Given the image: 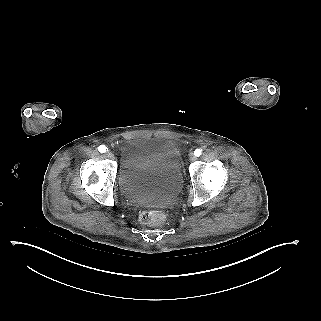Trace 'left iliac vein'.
Listing matches in <instances>:
<instances>
[{"label": "left iliac vein", "instance_id": "4c4485c4", "mask_svg": "<svg viewBox=\"0 0 321 321\" xmlns=\"http://www.w3.org/2000/svg\"><path fill=\"white\" fill-rule=\"evenodd\" d=\"M189 160H190V161H195V160H196L195 154L190 153V154H189Z\"/></svg>", "mask_w": 321, "mask_h": 321}]
</instances>
